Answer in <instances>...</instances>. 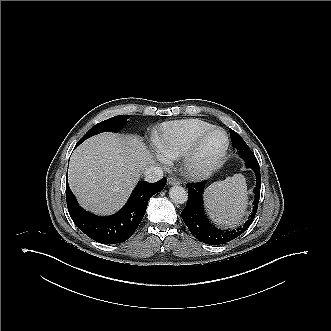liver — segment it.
Returning a JSON list of instances; mask_svg holds the SVG:
<instances>
[{"label": "liver", "mask_w": 331, "mask_h": 331, "mask_svg": "<svg viewBox=\"0 0 331 331\" xmlns=\"http://www.w3.org/2000/svg\"><path fill=\"white\" fill-rule=\"evenodd\" d=\"M153 163L152 153L139 137L102 133L74 151L69 186L86 210L109 215L125 204L140 173Z\"/></svg>", "instance_id": "1"}]
</instances>
